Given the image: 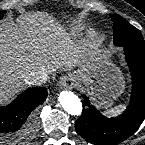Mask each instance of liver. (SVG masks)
<instances>
[{
  "label": "liver",
  "instance_id": "obj_1",
  "mask_svg": "<svg viewBox=\"0 0 145 145\" xmlns=\"http://www.w3.org/2000/svg\"><path fill=\"white\" fill-rule=\"evenodd\" d=\"M17 23L0 26V98L17 91L31 72L71 68L81 57L47 13L23 16Z\"/></svg>",
  "mask_w": 145,
  "mask_h": 145
}]
</instances>
